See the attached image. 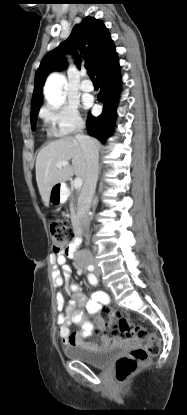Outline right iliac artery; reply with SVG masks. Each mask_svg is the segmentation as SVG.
<instances>
[{
	"mask_svg": "<svg viewBox=\"0 0 187 415\" xmlns=\"http://www.w3.org/2000/svg\"><path fill=\"white\" fill-rule=\"evenodd\" d=\"M93 269H94V267H93L92 265H89V266H88V270H89V271H92Z\"/></svg>",
	"mask_w": 187,
	"mask_h": 415,
	"instance_id": "right-iliac-artery-1",
	"label": "right iliac artery"
}]
</instances>
